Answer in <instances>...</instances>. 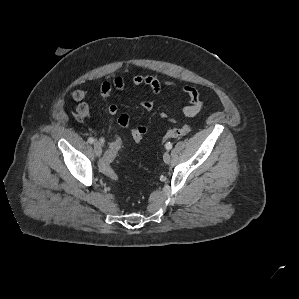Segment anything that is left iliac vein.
<instances>
[{
	"label": "left iliac vein",
	"mask_w": 299,
	"mask_h": 299,
	"mask_svg": "<svg viewBox=\"0 0 299 299\" xmlns=\"http://www.w3.org/2000/svg\"><path fill=\"white\" fill-rule=\"evenodd\" d=\"M163 160L166 164H169L170 163V160H171V156L168 152H165L164 155H163Z\"/></svg>",
	"instance_id": "obj_1"
}]
</instances>
